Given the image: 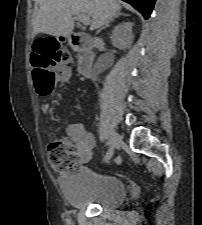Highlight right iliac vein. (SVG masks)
Here are the masks:
<instances>
[{
    "instance_id": "obj_1",
    "label": "right iliac vein",
    "mask_w": 202,
    "mask_h": 225,
    "mask_svg": "<svg viewBox=\"0 0 202 225\" xmlns=\"http://www.w3.org/2000/svg\"><path fill=\"white\" fill-rule=\"evenodd\" d=\"M109 141H110L109 155H111L113 154L114 149L120 144L121 138L117 133L112 132Z\"/></svg>"
}]
</instances>
